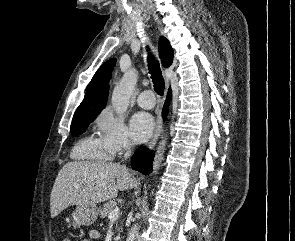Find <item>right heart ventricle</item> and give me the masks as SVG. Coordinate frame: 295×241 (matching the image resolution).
I'll use <instances>...</instances> for the list:
<instances>
[{"label": "right heart ventricle", "mask_w": 295, "mask_h": 241, "mask_svg": "<svg viewBox=\"0 0 295 241\" xmlns=\"http://www.w3.org/2000/svg\"><path fill=\"white\" fill-rule=\"evenodd\" d=\"M72 157L77 160L104 161L111 156L98 139L86 137L74 146Z\"/></svg>", "instance_id": "e07e8e85"}]
</instances>
